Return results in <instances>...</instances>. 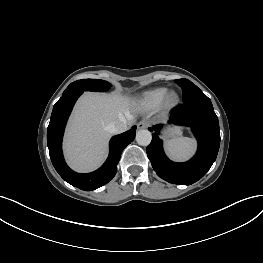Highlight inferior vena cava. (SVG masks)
<instances>
[{
    "label": "inferior vena cava",
    "mask_w": 263,
    "mask_h": 263,
    "mask_svg": "<svg viewBox=\"0 0 263 263\" xmlns=\"http://www.w3.org/2000/svg\"><path fill=\"white\" fill-rule=\"evenodd\" d=\"M128 122L129 120L127 118L121 117L118 120L108 124L107 130L113 134L122 133L128 129Z\"/></svg>",
    "instance_id": "inferior-vena-cava-1"
}]
</instances>
